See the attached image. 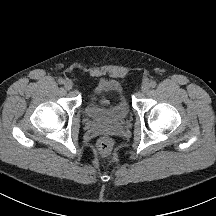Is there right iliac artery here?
Wrapping results in <instances>:
<instances>
[{
    "label": "right iliac artery",
    "instance_id": "obj_1",
    "mask_svg": "<svg viewBox=\"0 0 216 216\" xmlns=\"http://www.w3.org/2000/svg\"><path fill=\"white\" fill-rule=\"evenodd\" d=\"M58 83H59V84H63V83H64V80H63L62 78H59V79H58Z\"/></svg>",
    "mask_w": 216,
    "mask_h": 216
}]
</instances>
